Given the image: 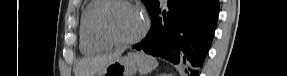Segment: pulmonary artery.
I'll return each mask as SVG.
<instances>
[{
	"label": "pulmonary artery",
	"instance_id": "pulmonary-artery-1",
	"mask_svg": "<svg viewBox=\"0 0 287 76\" xmlns=\"http://www.w3.org/2000/svg\"><path fill=\"white\" fill-rule=\"evenodd\" d=\"M162 2H164V3H166L167 2V0H161Z\"/></svg>",
	"mask_w": 287,
	"mask_h": 76
}]
</instances>
